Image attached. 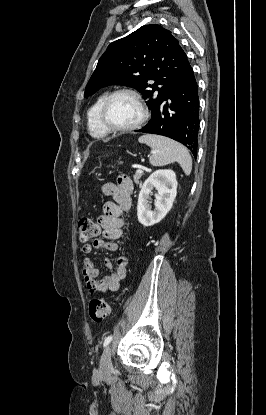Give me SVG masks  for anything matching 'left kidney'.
Wrapping results in <instances>:
<instances>
[{"mask_svg":"<svg viewBox=\"0 0 266 415\" xmlns=\"http://www.w3.org/2000/svg\"><path fill=\"white\" fill-rule=\"evenodd\" d=\"M155 188L154 210L149 204L150 195ZM177 194L176 174L170 169L153 172L144 182L138 197L137 217L144 226L159 223L171 210Z\"/></svg>","mask_w":266,"mask_h":415,"instance_id":"obj_1","label":"left kidney"}]
</instances>
